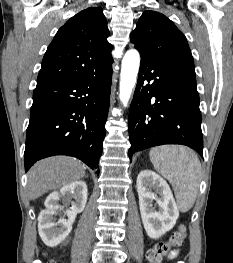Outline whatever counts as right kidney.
I'll return each instance as SVG.
<instances>
[{"instance_id": "ca27d5eb", "label": "right kidney", "mask_w": 233, "mask_h": 263, "mask_svg": "<svg viewBox=\"0 0 233 263\" xmlns=\"http://www.w3.org/2000/svg\"><path fill=\"white\" fill-rule=\"evenodd\" d=\"M87 185L83 181H75L63 186L60 191L52 192L45 200V209L38 216V230L42 241L48 247L59 245L71 232L72 224L78 213L82 212L87 202ZM72 207L65 211V217L55 222L54 216L58 210H63L59 205L60 199L69 202Z\"/></svg>"}]
</instances>
